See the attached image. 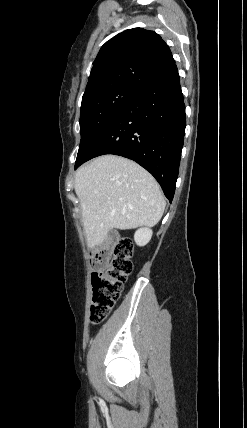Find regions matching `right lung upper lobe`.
Wrapping results in <instances>:
<instances>
[{
  "label": "right lung upper lobe",
  "instance_id": "1",
  "mask_svg": "<svg viewBox=\"0 0 247 428\" xmlns=\"http://www.w3.org/2000/svg\"><path fill=\"white\" fill-rule=\"evenodd\" d=\"M93 64L84 95L114 86L141 91L174 67L175 61L156 32L133 28L107 41Z\"/></svg>",
  "mask_w": 247,
  "mask_h": 428
}]
</instances>
